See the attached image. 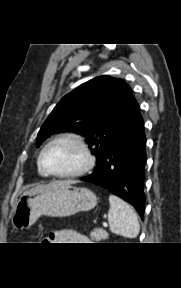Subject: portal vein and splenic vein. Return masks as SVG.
Here are the masks:
<instances>
[{"label": "portal vein and splenic vein", "mask_w": 181, "mask_h": 288, "mask_svg": "<svg viewBox=\"0 0 181 288\" xmlns=\"http://www.w3.org/2000/svg\"><path fill=\"white\" fill-rule=\"evenodd\" d=\"M103 226H104V227H107V226H108V224H107L106 222H104V223H103Z\"/></svg>", "instance_id": "1"}]
</instances>
